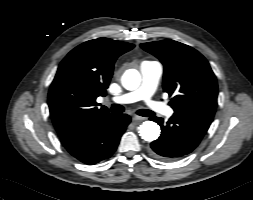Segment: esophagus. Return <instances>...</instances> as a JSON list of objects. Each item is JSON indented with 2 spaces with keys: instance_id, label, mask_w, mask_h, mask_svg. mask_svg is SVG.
Wrapping results in <instances>:
<instances>
[{
  "instance_id": "1",
  "label": "esophagus",
  "mask_w": 253,
  "mask_h": 200,
  "mask_svg": "<svg viewBox=\"0 0 253 200\" xmlns=\"http://www.w3.org/2000/svg\"><path fill=\"white\" fill-rule=\"evenodd\" d=\"M144 119H145V118L140 117V116H137V115L133 116V118H132L133 122H139V121H142V120H144Z\"/></svg>"
}]
</instances>
